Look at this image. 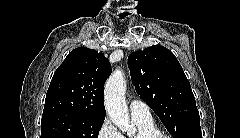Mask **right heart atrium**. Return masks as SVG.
Instances as JSON below:
<instances>
[{
	"instance_id": "1",
	"label": "right heart atrium",
	"mask_w": 240,
	"mask_h": 138,
	"mask_svg": "<svg viewBox=\"0 0 240 138\" xmlns=\"http://www.w3.org/2000/svg\"><path fill=\"white\" fill-rule=\"evenodd\" d=\"M97 138H122V136L112 122L105 118L98 129Z\"/></svg>"
}]
</instances>
